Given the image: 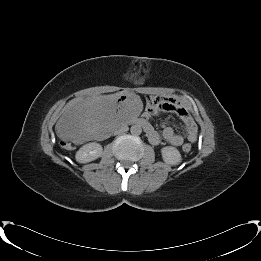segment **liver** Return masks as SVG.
I'll list each match as a JSON object with an SVG mask.
<instances>
[{
  "label": "liver",
  "instance_id": "liver-1",
  "mask_svg": "<svg viewBox=\"0 0 261 261\" xmlns=\"http://www.w3.org/2000/svg\"><path fill=\"white\" fill-rule=\"evenodd\" d=\"M140 98L130 93L92 96L67 109L56 124L60 139L75 144L95 138L101 132L115 134L140 112Z\"/></svg>",
  "mask_w": 261,
  "mask_h": 261
}]
</instances>
